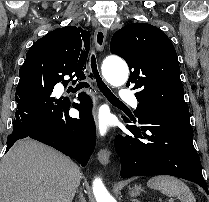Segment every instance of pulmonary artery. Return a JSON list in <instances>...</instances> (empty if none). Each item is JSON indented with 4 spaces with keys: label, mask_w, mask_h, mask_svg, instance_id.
Returning <instances> with one entry per match:
<instances>
[{
    "label": "pulmonary artery",
    "mask_w": 209,
    "mask_h": 202,
    "mask_svg": "<svg viewBox=\"0 0 209 202\" xmlns=\"http://www.w3.org/2000/svg\"><path fill=\"white\" fill-rule=\"evenodd\" d=\"M119 99L125 103H127L132 108H137L139 105L138 98L128 90H120Z\"/></svg>",
    "instance_id": "pulmonary-artery-1"
}]
</instances>
